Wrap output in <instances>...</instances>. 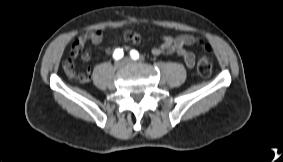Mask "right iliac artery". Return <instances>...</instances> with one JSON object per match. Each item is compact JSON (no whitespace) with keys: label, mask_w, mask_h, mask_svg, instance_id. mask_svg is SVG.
<instances>
[{"label":"right iliac artery","mask_w":283,"mask_h":162,"mask_svg":"<svg viewBox=\"0 0 283 162\" xmlns=\"http://www.w3.org/2000/svg\"><path fill=\"white\" fill-rule=\"evenodd\" d=\"M123 55H124L123 50L120 49V48H118V49H116V50L114 51V53H113V58L116 59V60H118V59H121V58L123 57Z\"/></svg>","instance_id":"1"}]
</instances>
